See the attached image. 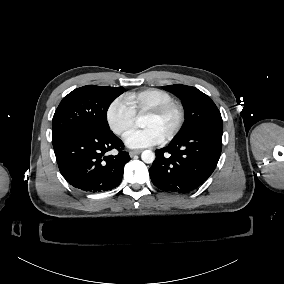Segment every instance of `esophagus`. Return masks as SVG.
Masks as SVG:
<instances>
[{
  "mask_svg": "<svg viewBox=\"0 0 284 284\" xmlns=\"http://www.w3.org/2000/svg\"><path fill=\"white\" fill-rule=\"evenodd\" d=\"M141 152L142 150H130L129 154H130V157H134L135 155L140 154Z\"/></svg>",
  "mask_w": 284,
  "mask_h": 284,
  "instance_id": "34e87169",
  "label": "esophagus"
}]
</instances>
